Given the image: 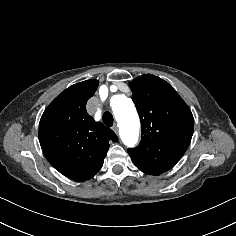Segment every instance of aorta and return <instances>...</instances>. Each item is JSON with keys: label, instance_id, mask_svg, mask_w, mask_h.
I'll use <instances>...</instances> for the list:
<instances>
[{"label": "aorta", "instance_id": "obj_1", "mask_svg": "<svg viewBox=\"0 0 236 236\" xmlns=\"http://www.w3.org/2000/svg\"><path fill=\"white\" fill-rule=\"evenodd\" d=\"M110 105L121 140L128 147H133L138 141L140 121L132 100L124 94H118L111 98Z\"/></svg>", "mask_w": 236, "mask_h": 236}]
</instances>
